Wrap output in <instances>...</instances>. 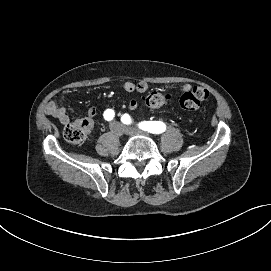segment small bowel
<instances>
[{"mask_svg": "<svg viewBox=\"0 0 271 271\" xmlns=\"http://www.w3.org/2000/svg\"><path fill=\"white\" fill-rule=\"evenodd\" d=\"M123 88L127 92H145L147 89V84L145 82L134 83L131 81H127L123 84ZM192 88L190 84H184L179 93H183ZM127 105L130 109L134 110L137 108L138 103L135 99H129ZM45 113L49 116L54 117L60 124L65 125L69 122V117L67 115L66 109L54 101L49 102L46 105ZM97 113V108L95 106L91 107L88 110L87 116L83 119L86 123H88L89 131H93L94 125V116Z\"/></svg>", "mask_w": 271, "mask_h": 271, "instance_id": "c3829d8e", "label": "small bowel"}]
</instances>
